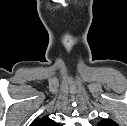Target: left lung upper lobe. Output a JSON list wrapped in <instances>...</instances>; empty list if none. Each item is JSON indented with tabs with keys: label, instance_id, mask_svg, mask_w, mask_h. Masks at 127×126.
I'll list each match as a JSON object with an SVG mask.
<instances>
[{
	"label": "left lung upper lobe",
	"instance_id": "obj_1",
	"mask_svg": "<svg viewBox=\"0 0 127 126\" xmlns=\"http://www.w3.org/2000/svg\"><path fill=\"white\" fill-rule=\"evenodd\" d=\"M98 126H117V123L111 119H103L99 122Z\"/></svg>",
	"mask_w": 127,
	"mask_h": 126
}]
</instances>
